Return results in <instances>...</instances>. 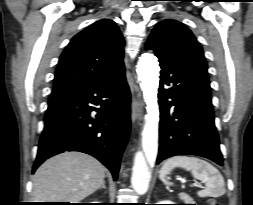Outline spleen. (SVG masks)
Returning <instances> with one entry per match:
<instances>
[{
    "mask_svg": "<svg viewBox=\"0 0 253 205\" xmlns=\"http://www.w3.org/2000/svg\"><path fill=\"white\" fill-rule=\"evenodd\" d=\"M176 167L190 171L195 179L205 183V188L197 192L199 197H219L225 193V181L219 170L197 157L174 156L166 160L159 171V177L165 185H173L166 176Z\"/></svg>",
    "mask_w": 253,
    "mask_h": 205,
    "instance_id": "1",
    "label": "spleen"
}]
</instances>
